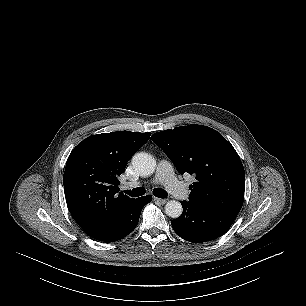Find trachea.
I'll return each mask as SVG.
<instances>
[{"label":"trachea","mask_w":306,"mask_h":306,"mask_svg":"<svg viewBox=\"0 0 306 306\" xmlns=\"http://www.w3.org/2000/svg\"><path fill=\"white\" fill-rule=\"evenodd\" d=\"M126 194H129L131 197H139L145 194V189L142 187L134 188L133 190H126ZM153 194L158 198H166L167 192L162 188H155Z\"/></svg>","instance_id":"obj_1"}]
</instances>
